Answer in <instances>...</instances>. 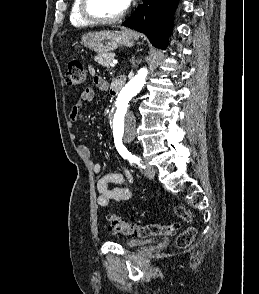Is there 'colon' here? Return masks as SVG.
<instances>
[{
	"label": "colon",
	"mask_w": 259,
	"mask_h": 294,
	"mask_svg": "<svg viewBox=\"0 0 259 294\" xmlns=\"http://www.w3.org/2000/svg\"><path fill=\"white\" fill-rule=\"evenodd\" d=\"M86 81V72L82 63L78 60H72L68 63L67 72L65 74V84L70 87L82 86ZM175 214L180 219L191 222L190 213L183 207H176ZM108 228L115 234L122 236H133L146 238L151 236H163L175 233L178 228L176 223L169 224H140L128 221L119 215L112 214L108 218ZM196 236V230L188 227L183 230L176 239V245L179 248L188 247Z\"/></svg>",
	"instance_id": "obj_1"
}]
</instances>
